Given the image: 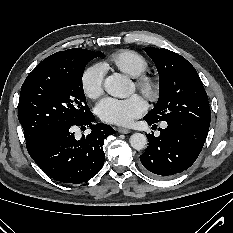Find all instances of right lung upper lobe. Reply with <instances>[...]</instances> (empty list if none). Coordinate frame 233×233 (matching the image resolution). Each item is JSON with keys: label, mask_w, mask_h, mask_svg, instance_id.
<instances>
[{"label": "right lung upper lobe", "mask_w": 233, "mask_h": 233, "mask_svg": "<svg viewBox=\"0 0 233 233\" xmlns=\"http://www.w3.org/2000/svg\"><path fill=\"white\" fill-rule=\"evenodd\" d=\"M61 52H62V51H61ZM61 52H57V53H55V54H52L51 56L47 57L45 60H46V61H47V60H52V59L56 58L57 56H59Z\"/></svg>", "instance_id": "obj_1"}]
</instances>
